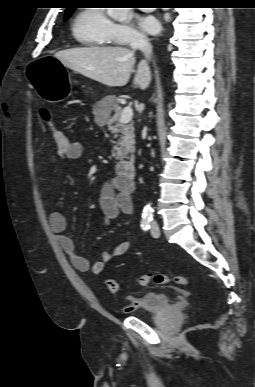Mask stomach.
Returning <instances> with one entry per match:
<instances>
[{
    "label": "stomach",
    "mask_w": 255,
    "mask_h": 387,
    "mask_svg": "<svg viewBox=\"0 0 255 387\" xmlns=\"http://www.w3.org/2000/svg\"><path fill=\"white\" fill-rule=\"evenodd\" d=\"M25 73L33 91H38V95L50 103L62 101L74 90L66 68L55 55H38L37 61L25 66Z\"/></svg>",
    "instance_id": "stomach-1"
}]
</instances>
